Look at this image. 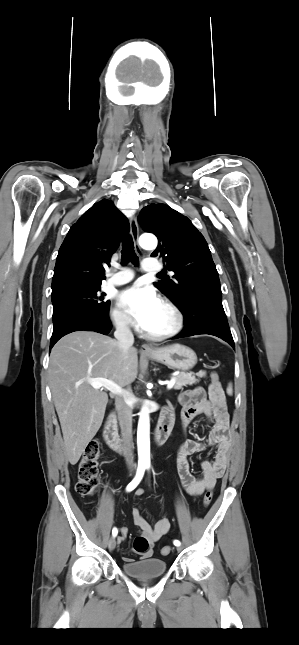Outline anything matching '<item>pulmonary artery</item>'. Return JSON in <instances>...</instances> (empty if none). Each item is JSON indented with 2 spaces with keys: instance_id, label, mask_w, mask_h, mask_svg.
Masks as SVG:
<instances>
[{
  "instance_id": "1",
  "label": "pulmonary artery",
  "mask_w": 299,
  "mask_h": 645,
  "mask_svg": "<svg viewBox=\"0 0 299 645\" xmlns=\"http://www.w3.org/2000/svg\"><path fill=\"white\" fill-rule=\"evenodd\" d=\"M142 269L145 272H158L162 269V264L157 260L147 258L142 263ZM134 277V273L127 268H121L120 271L112 274L106 284L108 286H119L128 283Z\"/></svg>"
}]
</instances>
